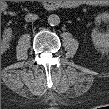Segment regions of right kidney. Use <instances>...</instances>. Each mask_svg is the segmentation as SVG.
<instances>
[{"label": "right kidney", "instance_id": "right-kidney-1", "mask_svg": "<svg viewBox=\"0 0 109 109\" xmlns=\"http://www.w3.org/2000/svg\"><path fill=\"white\" fill-rule=\"evenodd\" d=\"M12 37V30L10 28L4 31L1 39V51L5 52L9 48V43Z\"/></svg>", "mask_w": 109, "mask_h": 109}]
</instances>
